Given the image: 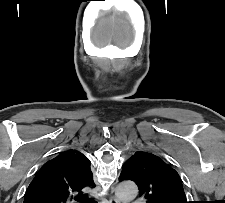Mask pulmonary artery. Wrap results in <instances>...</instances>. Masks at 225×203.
<instances>
[{"mask_svg":"<svg viewBox=\"0 0 225 203\" xmlns=\"http://www.w3.org/2000/svg\"><path fill=\"white\" fill-rule=\"evenodd\" d=\"M133 203H144L142 200H135Z\"/></svg>","mask_w":225,"mask_h":203,"instance_id":"obj_1","label":"pulmonary artery"}]
</instances>
